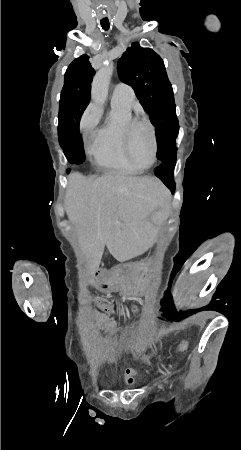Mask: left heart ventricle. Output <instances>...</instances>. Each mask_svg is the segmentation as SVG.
Wrapping results in <instances>:
<instances>
[{"mask_svg":"<svg viewBox=\"0 0 241 450\" xmlns=\"http://www.w3.org/2000/svg\"><path fill=\"white\" fill-rule=\"evenodd\" d=\"M138 122L139 123L135 124L134 127H131V129H134L137 133L130 139L132 144L129 146V151L132 153L133 157H136L134 162L137 165H149L151 161V151L148 148V137H155V135H148L147 131L151 129L154 130V127H152L151 122L145 117H141V120ZM142 128L143 130H140Z\"/></svg>","mask_w":241,"mask_h":450,"instance_id":"obj_1","label":"left heart ventricle"}]
</instances>
